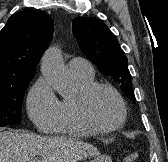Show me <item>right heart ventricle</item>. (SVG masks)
<instances>
[{
	"label": "right heart ventricle",
	"instance_id": "e07e8e85",
	"mask_svg": "<svg viewBox=\"0 0 168 162\" xmlns=\"http://www.w3.org/2000/svg\"><path fill=\"white\" fill-rule=\"evenodd\" d=\"M72 78L77 89V94L74 97L64 98L60 101V119L51 132L65 136H89L94 134L95 131L79 118L76 109V100L84 88L94 83V75L91 77L72 75Z\"/></svg>",
	"mask_w": 168,
	"mask_h": 162
}]
</instances>
